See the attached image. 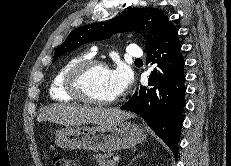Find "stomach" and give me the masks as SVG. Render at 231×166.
Here are the masks:
<instances>
[{
    "label": "stomach",
    "mask_w": 231,
    "mask_h": 166,
    "mask_svg": "<svg viewBox=\"0 0 231 166\" xmlns=\"http://www.w3.org/2000/svg\"><path fill=\"white\" fill-rule=\"evenodd\" d=\"M145 138L144 130L139 125L126 120L96 127H66L55 133V143L61 148L101 152L127 149Z\"/></svg>",
    "instance_id": "0dacf381"
}]
</instances>
